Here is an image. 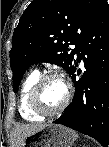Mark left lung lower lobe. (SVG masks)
Segmentation results:
<instances>
[{
	"label": "left lung lower lobe",
	"instance_id": "1",
	"mask_svg": "<svg viewBox=\"0 0 109 147\" xmlns=\"http://www.w3.org/2000/svg\"><path fill=\"white\" fill-rule=\"evenodd\" d=\"M81 59L84 62V71L79 68ZM91 71L102 76V85L96 92H91L87 87V77ZM80 74L81 76L78 77ZM70 75L75 85V94L72 103L54 123L89 135L106 147L109 144V5L107 2L83 34L77 48L75 67Z\"/></svg>",
	"mask_w": 109,
	"mask_h": 147
}]
</instances>
